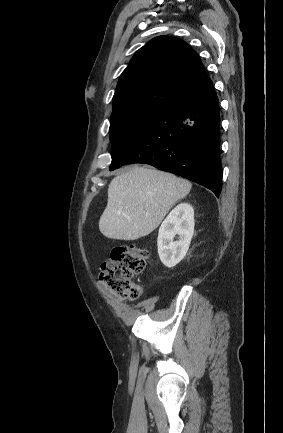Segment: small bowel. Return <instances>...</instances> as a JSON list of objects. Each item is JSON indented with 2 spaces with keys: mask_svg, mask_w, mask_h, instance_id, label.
Segmentation results:
<instances>
[{
  "mask_svg": "<svg viewBox=\"0 0 283 433\" xmlns=\"http://www.w3.org/2000/svg\"><path fill=\"white\" fill-rule=\"evenodd\" d=\"M98 285L105 293H107L109 298L115 303V305L117 307V311L119 312L121 318L125 322L128 323V322H132L135 320V318L137 317V313L128 306L126 298L120 297V296L110 292L107 289L105 283L102 282L101 280L98 281Z\"/></svg>",
  "mask_w": 283,
  "mask_h": 433,
  "instance_id": "obj_1",
  "label": "small bowel"
}]
</instances>
